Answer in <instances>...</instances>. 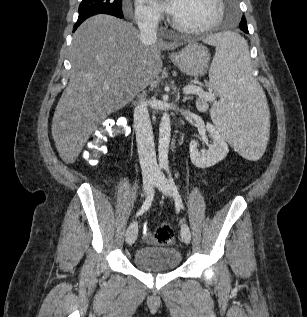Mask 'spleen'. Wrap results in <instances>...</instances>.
Wrapping results in <instances>:
<instances>
[{
	"label": "spleen",
	"mask_w": 307,
	"mask_h": 317,
	"mask_svg": "<svg viewBox=\"0 0 307 317\" xmlns=\"http://www.w3.org/2000/svg\"><path fill=\"white\" fill-rule=\"evenodd\" d=\"M202 43L216 47L209 80L221 100L211 113L213 123L234 150H239L242 160H261L271 122L266 91L250 73L246 41L232 29H223L222 33H207Z\"/></svg>",
	"instance_id": "obj_1"
}]
</instances>
